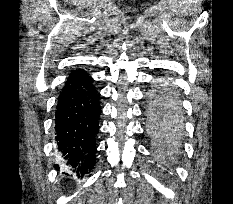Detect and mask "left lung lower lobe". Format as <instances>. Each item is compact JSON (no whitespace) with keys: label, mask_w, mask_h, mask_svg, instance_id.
<instances>
[{"label":"left lung lower lobe","mask_w":233,"mask_h":204,"mask_svg":"<svg viewBox=\"0 0 233 204\" xmlns=\"http://www.w3.org/2000/svg\"><path fill=\"white\" fill-rule=\"evenodd\" d=\"M154 119V118H153ZM157 120V119H156ZM157 121H159L161 124H162V126L165 128V130L166 131H169V130H171V129H174V125L173 124H171V123H169V122H165V121H161V120H157ZM163 132V131H162Z\"/></svg>","instance_id":"0a47b994"}]
</instances>
